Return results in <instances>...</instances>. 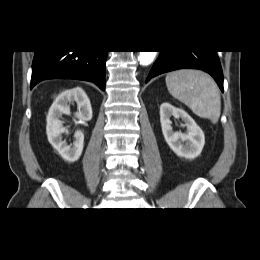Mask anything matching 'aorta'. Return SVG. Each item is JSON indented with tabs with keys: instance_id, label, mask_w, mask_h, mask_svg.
<instances>
[{
	"instance_id": "1",
	"label": "aorta",
	"mask_w": 260,
	"mask_h": 260,
	"mask_svg": "<svg viewBox=\"0 0 260 260\" xmlns=\"http://www.w3.org/2000/svg\"><path fill=\"white\" fill-rule=\"evenodd\" d=\"M157 54V51H140L138 60L141 65L147 66L153 62Z\"/></svg>"
}]
</instances>
